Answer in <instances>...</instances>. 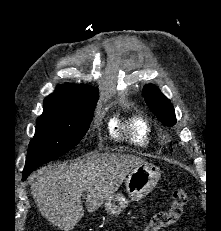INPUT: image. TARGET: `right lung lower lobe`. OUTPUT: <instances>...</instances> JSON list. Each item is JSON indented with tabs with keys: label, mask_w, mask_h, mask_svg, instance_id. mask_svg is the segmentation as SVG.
<instances>
[{
	"label": "right lung lower lobe",
	"mask_w": 221,
	"mask_h": 231,
	"mask_svg": "<svg viewBox=\"0 0 221 231\" xmlns=\"http://www.w3.org/2000/svg\"><path fill=\"white\" fill-rule=\"evenodd\" d=\"M40 167V166H39ZM38 167H36V168H32V169H24V171H23V176H22V180H25L27 177H28V175H30V173L32 172V171H34V170H36Z\"/></svg>",
	"instance_id": "1"
}]
</instances>
